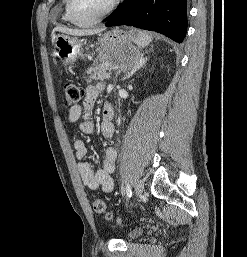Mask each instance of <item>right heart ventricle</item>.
I'll use <instances>...</instances> for the list:
<instances>
[{
  "instance_id": "right-heart-ventricle-1",
  "label": "right heart ventricle",
  "mask_w": 247,
  "mask_h": 257,
  "mask_svg": "<svg viewBox=\"0 0 247 257\" xmlns=\"http://www.w3.org/2000/svg\"><path fill=\"white\" fill-rule=\"evenodd\" d=\"M62 1V5H63V14H62V19L65 22H69V23H73L69 12H68V0H61Z\"/></svg>"
}]
</instances>
